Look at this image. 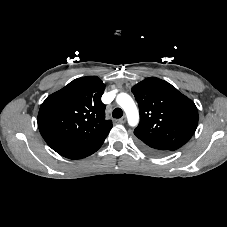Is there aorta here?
Masks as SVG:
<instances>
[{
    "label": "aorta",
    "instance_id": "obj_1",
    "mask_svg": "<svg viewBox=\"0 0 227 227\" xmlns=\"http://www.w3.org/2000/svg\"><path fill=\"white\" fill-rule=\"evenodd\" d=\"M116 101L125 111L129 125L135 127L139 122V112L132 97L127 93H120Z\"/></svg>",
    "mask_w": 227,
    "mask_h": 227
}]
</instances>
